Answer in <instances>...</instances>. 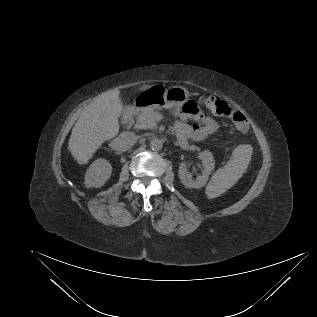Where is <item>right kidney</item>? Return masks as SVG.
I'll return each instance as SVG.
<instances>
[{"label": "right kidney", "mask_w": 317, "mask_h": 317, "mask_svg": "<svg viewBox=\"0 0 317 317\" xmlns=\"http://www.w3.org/2000/svg\"><path fill=\"white\" fill-rule=\"evenodd\" d=\"M112 172L111 164L105 159H97L87 170L85 174L86 187L99 188L105 184Z\"/></svg>", "instance_id": "1"}]
</instances>
